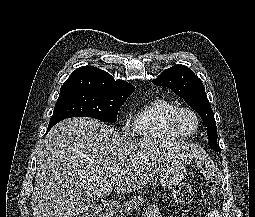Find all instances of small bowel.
<instances>
[{"label": "small bowel", "mask_w": 255, "mask_h": 217, "mask_svg": "<svg viewBox=\"0 0 255 217\" xmlns=\"http://www.w3.org/2000/svg\"><path fill=\"white\" fill-rule=\"evenodd\" d=\"M145 217H160L159 208L156 205H150L146 210ZM204 217H223V215L218 211H210Z\"/></svg>", "instance_id": "small-bowel-1"}]
</instances>
